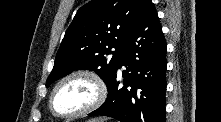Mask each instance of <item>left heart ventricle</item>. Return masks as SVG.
I'll return each mask as SVG.
<instances>
[{
  "label": "left heart ventricle",
  "instance_id": "left-heart-ventricle-1",
  "mask_svg": "<svg viewBox=\"0 0 221 122\" xmlns=\"http://www.w3.org/2000/svg\"><path fill=\"white\" fill-rule=\"evenodd\" d=\"M95 87L85 78H74L65 82L54 96L55 109L63 114L78 112L87 107L95 98Z\"/></svg>",
  "mask_w": 221,
  "mask_h": 122
}]
</instances>
